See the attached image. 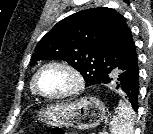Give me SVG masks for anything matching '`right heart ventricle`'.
I'll use <instances>...</instances> for the list:
<instances>
[{"label": "right heart ventricle", "instance_id": "e07e8e85", "mask_svg": "<svg viewBox=\"0 0 153 134\" xmlns=\"http://www.w3.org/2000/svg\"><path fill=\"white\" fill-rule=\"evenodd\" d=\"M31 91H32V93L35 94V92H34V90H33L32 82H31Z\"/></svg>", "mask_w": 153, "mask_h": 134}]
</instances>
